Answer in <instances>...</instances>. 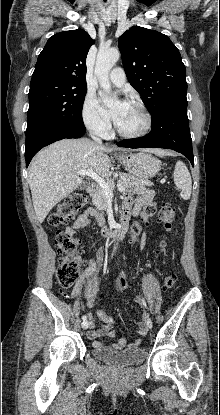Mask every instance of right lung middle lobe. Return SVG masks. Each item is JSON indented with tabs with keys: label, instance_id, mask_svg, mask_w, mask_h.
Wrapping results in <instances>:
<instances>
[{
	"label": "right lung middle lobe",
	"instance_id": "1",
	"mask_svg": "<svg viewBox=\"0 0 220 415\" xmlns=\"http://www.w3.org/2000/svg\"><path fill=\"white\" fill-rule=\"evenodd\" d=\"M86 92V85L55 79L31 81L26 143L45 131L83 127L82 107Z\"/></svg>",
	"mask_w": 220,
	"mask_h": 415
}]
</instances>
